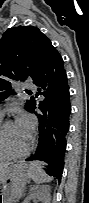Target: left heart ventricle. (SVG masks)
Instances as JSON below:
<instances>
[{
    "instance_id": "obj_1",
    "label": "left heart ventricle",
    "mask_w": 89,
    "mask_h": 203,
    "mask_svg": "<svg viewBox=\"0 0 89 203\" xmlns=\"http://www.w3.org/2000/svg\"><path fill=\"white\" fill-rule=\"evenodd\" d=\"M5 148L10 153H17L23 150L29 137L23 135L17 128L16 124L8 123L4 128Z\"/></svg>"
}]
</instances>
